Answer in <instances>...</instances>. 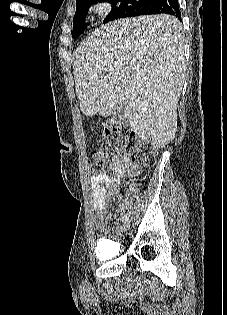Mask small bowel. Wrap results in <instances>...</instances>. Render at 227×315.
<instances>
[{
	"label": "small bowel",
	"mask_w": 227,
	"mask_h": 315,
	"mask_svg": "<svg viewBox=\"0 0 227 315\" xmlns=\"http://www.w3.org/2000/svg\"><path fill=\"white\" fill-rule=\"evenodd\" d=\"M141 167L129 156L118 152L112 160L111 175L98 174L90 177V186L93 194L92 206L96 213L98 226L111 217L108 209V197L119 193V185L125 176H137L141 173ZM124 199L119 201L118 214L123 211Z\"/></svg>",
	"instance_id": "1"
}]
</instances>
